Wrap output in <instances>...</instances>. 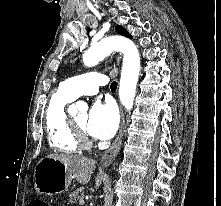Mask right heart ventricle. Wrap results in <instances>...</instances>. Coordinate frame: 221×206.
<instances>
[{
    "instance_id": "1",
    "label": "right heart ventricle",
    "mask_w": 221,
    "mask_h": 206,
    "mask_svg": "<svg viewBox=\"0 0 221 206\" xmlns=\"http://www.w3.org/2000/svg\"><path fill=\"white\" fill-rule=\"evenodd\" d=\"M74 100L62 87L59 86L49 99L46 109V131L50 145L66 153H76L79 143L66 107Z\"/></svg>"
}]
</instances>
